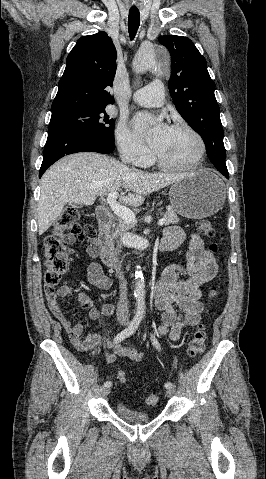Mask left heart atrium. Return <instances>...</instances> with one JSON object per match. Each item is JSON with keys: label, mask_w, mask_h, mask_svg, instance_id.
Instances as JSON below:
<instances>
[{"label": "left heart atrium", "mask_w": 266, "mask_h": 479, "mask_svg": "<svg viewBox=\"0 0 266 479\" xmlns=\"http://www.w3.org/2000/svg\"><path fill=\"white\" fill-rule=\"evenodd\" d=\"M136 132L158 153L164 145L170 128L165 124H155L148 114H140L133 121Z\"/></svg>", "instance_id": "39dd6f15"}]
</instances>
